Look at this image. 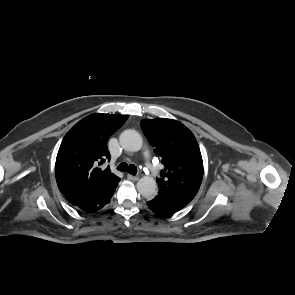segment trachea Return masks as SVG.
Returning a JSON list of instances; mask_svg holds the SVG:
<instances>
[{
    "label": "trachea",
    "mask_w": 295,
    "mask_h": 295,
    "mask_svg": "<svg viewBox=\"0 0 295 295\" xmlns=\"http://www.w3.org/2000/svg\"><path fill=\"white\" fill-rule=\"evenodd\" d=\"M117 169L122 172H128L131 175L137 174V167L133 164L128 165L125 162H122L118 165Z\"/></svg>",
    "instance_id": "3493384b"
}]
</instances>
